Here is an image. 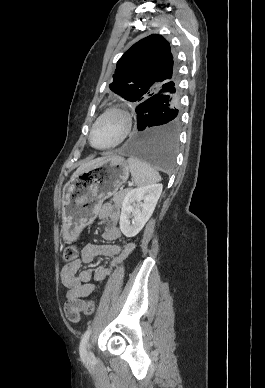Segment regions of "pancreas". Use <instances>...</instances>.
Returning a JSON list of instances; mask_svg holds the SVG:
<instances>
[{"instance_id": "pancreas-1", "label": "pancreas", "mask_w": 265, "mask_h": 388, "mask_svg": "<svg viewBox=\"0 0 265 388\" xmlns=\"http://www.w3.org/2000/svg\"><path fill=\"white\" fill-rule=\"evenodd\" d=\"M127 192H129V190H121V192H117V194H114L112 202H114V204H117V206H121L123 198H125Z\"/></svg>"}]
</instances>
